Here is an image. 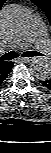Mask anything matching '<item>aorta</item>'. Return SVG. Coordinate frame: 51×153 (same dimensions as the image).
Listing matches in <instances>:
<instances>
[{
  "label": "aorta",
  "instance_id": "1",
  "mask_svg": "<svg viewBox=\"0 0 51 153\" xmlns=\"http://www.w3.org/2000/svg\"><path fill=\"white\" fill-rule=\"evenodd\" d=\"M1 25L8 35L23 33L29 25V15L20 6H8L2 10ZM31 72L39 80L51 77V62L46 57H37L31 62Z\"/></svg>",
  "mask_w": 51,
  "mask_h": 153
}]
</instances>
